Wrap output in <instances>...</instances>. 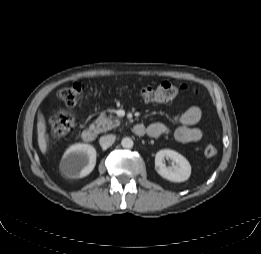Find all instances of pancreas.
<instances>
[{
  "instance_id": "pancreas-1",
  "label": "pancreas",
  "mask_w": 261,
  "mask_h": 254,
  "mask_svg": "<svg viewBox=\"0 0 261 254\" xmlns=\"http://www.w3.org/2000/svg\"><path fill=\"white\" fill-rule=\"evenodd\" d=\"M120 121L118 119H113L112 116L107 117L105 114H100V116L95 120L94 129L97 133L106 132L117 126H119Z\"/></svg>"
}]
</instances>
